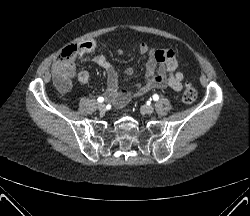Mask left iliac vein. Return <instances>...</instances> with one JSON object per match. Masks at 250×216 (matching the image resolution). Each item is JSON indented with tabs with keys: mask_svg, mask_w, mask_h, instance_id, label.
Here are the masks:
<instances>
[{
	"mask_svg": "<svg viewBox=\"0 0 250 216\" xmlns=\"http://www.w3.org/2000/svg\"><path fill=\"white\" fill-rule=\"evenodd\" d=\"M141 111L146 114H152L154 112V108L152 106L144 105L141 107Z\"/></svg>",
	"mask_w": 250,
	"mask_h": 216,
	"instance_id": "obj_1",
	"label": "left iliac vein"
}]
</instances>
